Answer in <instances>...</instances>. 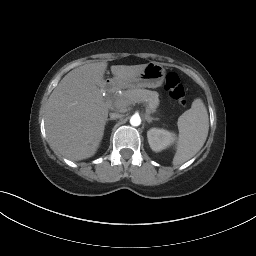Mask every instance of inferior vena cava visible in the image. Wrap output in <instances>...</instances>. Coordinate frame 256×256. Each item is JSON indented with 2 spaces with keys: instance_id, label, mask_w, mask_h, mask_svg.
I'll list each match as a JSON object with an SVG mask.
<instances>
[{
  "instance_id": "602c4592",
  "label": "inferior vena cava",
  "mask_w": 256,
  "mask_h": 256,
  "mask_svg": "<svg viewBox=\"0 0 256 256\" xmlns=\"http://www.w3.org/2000/svg\"><path fill=\"white\" fill-rule=\"evenodd\" d=\"M122 117V114L118 113V112H113V113H110V118L115 120V119H119Z\"/></svg>"
}]
</instances>
